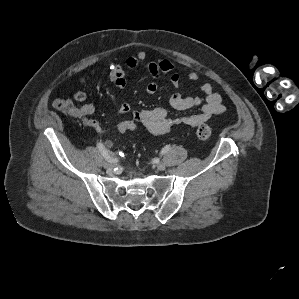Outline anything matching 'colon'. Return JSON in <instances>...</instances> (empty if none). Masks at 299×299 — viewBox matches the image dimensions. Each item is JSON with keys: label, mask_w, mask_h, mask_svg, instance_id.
<instances>
[{"label": "colon", "mask_w": 299, "mask_h": 299, "mask_svg": "<svg viewBox=\"0 0 299 299\" xmlns=\"http://www.w3.org/2000/svg\"><path fill=\"white\" fill-rule=\"evenodd\" d=\"M53 106L56 110L61 113L70 116V117H83L81 108L76 106L69 99H56L53 103ZM85 123H88L89 120L85 119ZM139 124L133 119L122 120L117 125V131L122 134L132 133L138 130ZM196 138L200 140H207L212 136V129L206 124L200 125L195 131Z\"/></svg>", "instance_id": "1"}]
</instances>
